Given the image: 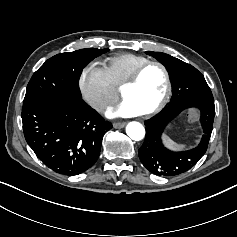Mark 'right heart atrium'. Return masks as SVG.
Instances as JSON below:
<instances>
[{
  "label": "right heart atrium",
  "mask_w": 237,
  "mask_h": 237,
  "mask_svg": "<svg viewBox=\"0 0 237 237\" xmlns=\"http://www.w3.org/2000/svg\"><path fill=\"white\" fill-rule=\"evenodd\" d=\"M78 85L83 99L98 112H104L117 101V92L105 69L96 62L81 70Z\"/></svg>",
  "instance_id": "obj_1"
}]
</instances>
